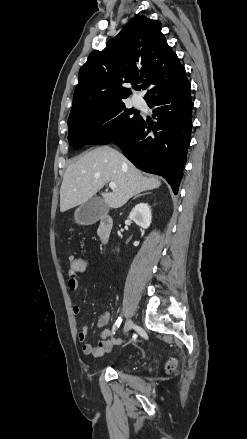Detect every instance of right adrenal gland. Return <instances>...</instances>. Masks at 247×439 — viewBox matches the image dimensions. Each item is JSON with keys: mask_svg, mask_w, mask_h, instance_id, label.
Instances as JSON below:
<instances>
[{"mask_svg": "<svg viewBox=\"0 0 247 439\" xmlns=\"http://www.w3.org/2000/svg\"><path fill=\"white\" fill-rule=\"evenodd\" d=\"M147 194H150V193L138 194V195H136L133 199H136V198H138V197H140V196H144V195H147Z\"/></svg>", "mask_w": 247, "mask_h": 439, "instance_id": "right-adrenal-gland-1", "label": "right adrenal gland"}]
</instances>
